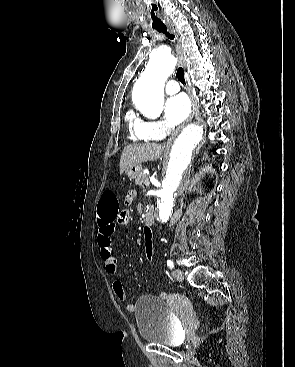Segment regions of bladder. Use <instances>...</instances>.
Listing matches in <instances>:
<instances>
[{
  "label": "bladder",
  "instance_id": "obj_1",
  "mask_svg": "<svg viewBox=\"0 0 295 367\" xmlns=\"http://www.w3.org/2000/svg\"><path fill=\"white\" fill-rule=\"evenodd\" d=\"M140 338L148 343L176 346L181 331L167 303L156 296H142L134 310Z\"/></svg>",
  "mask_w": 295,
  "mask_h": 367
}]
</instances>
